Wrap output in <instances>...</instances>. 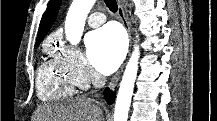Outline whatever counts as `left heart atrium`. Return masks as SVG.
<instances>
[{
    "mask_svg": "<svg viewBox=\"0 0 217 121\" xmlns=\"http://www.w3.org/2000/svg\"><path fill=\"white\" fill-rule=\"evenodd\" d=\"M85 44L90 63L103 75L110 74L118 67L126 51L125 36L114 24L89 33Z\"/></svg>",
    "mask_w": 217,
    "mask_h": 121,
    "instance_id": "obj_1",
    "label": "left heart atrium"
}]
</instances>
